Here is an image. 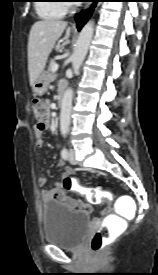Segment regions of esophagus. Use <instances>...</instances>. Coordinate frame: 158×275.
<instances>
[{
	"mask_svg": "<svg viewBox=\"0 0 158 275\" xmlns=\"http://www.w3.org/2000/svg\"><path fill=\"white\" fill-rule=\"evenodd\" d=\"M90 5H91L90 3H87V4L85 5V9L89 8Z\"/></svg>",
	"mask_w": 158,
	"mask_h": 275,
	"instance_id": "obj_1",
	"label": "esophagus"
}]
</instances>
